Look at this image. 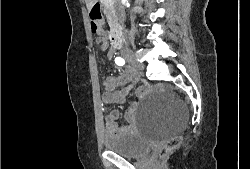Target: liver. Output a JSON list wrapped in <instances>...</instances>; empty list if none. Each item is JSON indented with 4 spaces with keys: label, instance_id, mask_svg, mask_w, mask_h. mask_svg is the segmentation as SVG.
Returning a JSON list of instances; mask_svg holds the SVG:
<instances>
[{
    "label": "liver",
    "instance_id": "1",
    "mask_svg": "<svg viewBox=\"0 0 250 169\" xmlns=\"http://www.w3.org/2000/svg\"><path fill=\"white\" fill-rule=\"evenodd\" d=\"M86 2V6L88 8V10H91L92 6H94L95 2H97V0H85Z\"/></svg>",
    "mask_w": 250,
    "mask_h": 169
}]
</instances>
